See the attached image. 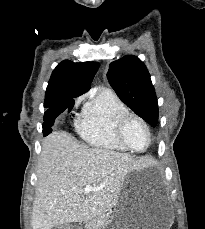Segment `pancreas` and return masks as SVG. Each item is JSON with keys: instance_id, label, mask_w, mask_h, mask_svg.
Masks as SVG:
<instances>
[{"instance_id": "pancreas-1", "label": "pancreas", "mask_w": 205, "mask_h": 229, "mask_svg": "<svg viewBox=\"0 0 205 229\" xmlns=\"http://www.w3.org/2000/svg\"><path fill=\"white\" fill-rule=\"evenodd\" d=\"M97 220L86 225V229H103L108 222V216L105 213L98 214Z\"/></svg>"}]
</instances>
